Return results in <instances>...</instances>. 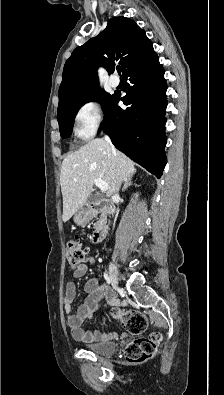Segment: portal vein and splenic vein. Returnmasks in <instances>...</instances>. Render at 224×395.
I'll use <instances>...</instances> for the list:
<instances>
[{"mask_svg": "<svg viewBox=\"0 0 224 395\" xmlns=\"http://www.w3.org/2000/svg\"><path fill=\"white\" fill-rule=\"evenodd\" d=\"M94 184L100 189V191L105 192L108 189V184L101 179H94Z\"/></svg>", "mask_w": 224, "mask_h": 395, "instance_id": "obj_1", "label": "portal vein and splenic vein"}]
</instances>
